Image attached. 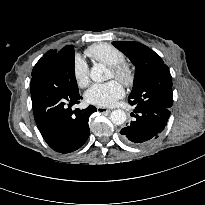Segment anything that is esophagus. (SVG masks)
Masks as SVG:
<instances>
[{"label": "esophagus", "mask_w": 205, "mask_h": 205, "mask_svg": "<svg viewBox=\"0 0 205 205\" xmlns=\"http://www.w3.org/2000/svg\"><path fill=\"white\" fill-rule=\"evenodd\" d=\"M97 111L100 113H110L111 110L103 107H97Z\"/></svg>", "instance_id": "1"}]
</instances>
